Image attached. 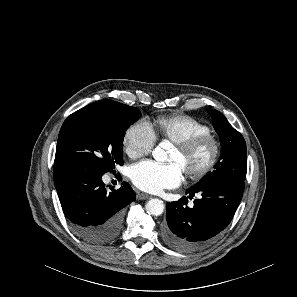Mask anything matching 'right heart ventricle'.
<instances>
[{
	"mask_svg": "<svg viewBox=\"0 0 297 297\" xmlns=\"http://www.w3.org/2000/svg\"><path fill=\"white\" fill-rule=\"evenodd\" d=\"M153 130L156 136L172 143L211 132L209 125L194 117L182 114L158 117Z\"/></svg>",
	"mask_w": 297,
	"mask_h": 297,
	"instance_id": "1",
	"label": "right heart ventricle"
}]
</instances>
